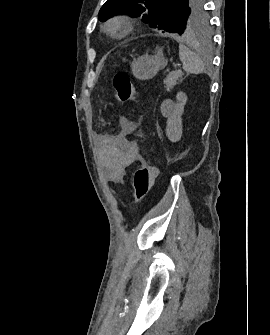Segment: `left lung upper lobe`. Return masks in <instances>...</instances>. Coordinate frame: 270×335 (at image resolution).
Segmentation results:
<instances>
[{"label":"left lung upper lobe","instance_id":"1","mask_svg":"<svg viewBox=\"0 0 270 335\" xmlns=\"http://www.w3.org/2000/svg\"><path fill=\"white\" fill-rule=\"evenodd\" d=\"M204 0H107L100 21L117 14L141 17L150 26L169 33L190 35L206 31L209 18Z\"/></svg>","mask_w":270,"mask_h":335}]
</instances>
